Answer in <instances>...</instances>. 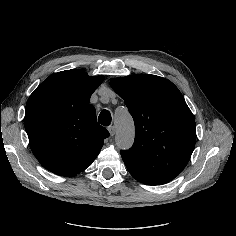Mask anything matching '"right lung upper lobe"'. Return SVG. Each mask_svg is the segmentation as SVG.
I'll return each instance as SVG.
<instances>
[{
    "label": "right lung upper lobe",
    "mask_w": 236,
    "mask_h": 236,
    "mask_svg": "<svg viewBox=\"0 0 236 236\" xmlns=\"http://www.w3.org/2000/svg\"><path fill=\"white\" fill-rule=\"evenodd\" d=\"M103 76L79 69L55 73L29 97L24 125L31 149L47 170L66 177L89 167L109 132L89 103Z\"/></svg>",
    "instance_id": "right-lung-upper-lobe-1"
}]
</instances>
